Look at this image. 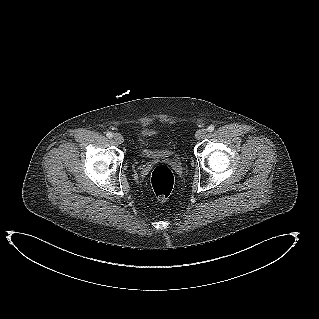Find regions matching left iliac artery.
Returning <instances> with one entry per match:
<instances>
[{
    "instance_id": "obj_1",
    "label": "left iliac artery",
    "mask_w": 319,
    "mask_h": 319,
    "mask_svg": "<svg viewBox=\"0 0 319 319\" xmlns=\"http://www.w3.org/2000/svg\"><path fill=\"white\" fill-rule=\"evenodd\" d=\"M207 131H208V132L214 131V126H213V125H210V126L207 128Z\"/></svg>"
}]
</instances>
